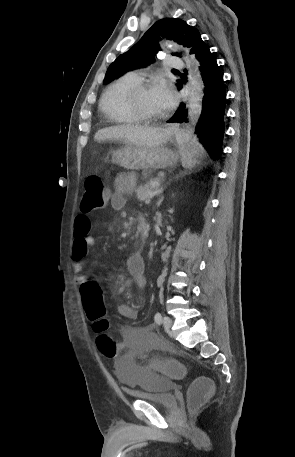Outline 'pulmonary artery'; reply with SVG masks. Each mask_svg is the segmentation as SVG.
<instances>
[{
	"instance_id": "e3ab8cb5",
	"label": "pulmonary artery",
	"mask_w": 295,
	"mask_h": 457,
	"mask_svg": "<svg viewBox=\"0 0 295 457\" xmlns=\"http://www.w3.org/2000/svg\"><path fill=\"white\" fill-rule=\"evenodd\" d=\"M165 65L174 70L182 69L184 66L183 61L175 56H169L165 59ZM130 75H132L134 78L138 79L139 81L142 79V74L140 72H132Z\"/></svg>"
}]
</instances>
